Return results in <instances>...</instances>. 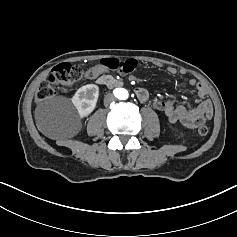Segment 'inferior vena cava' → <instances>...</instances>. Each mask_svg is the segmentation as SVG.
Instances as JSON below:
<instances>
[{
  "label": "inferior vena cava",
  "instance_id": "602c4592",
  "mask_svg": "<svg viewBox=\"0 0 237 237\" xmlns=\"http://www.w3.org/2000/svg\"><path fill=\"white\" fill-rule=\"evenodd\" d=\"M115 100L116 98L113 94H107L104 99V104L109 105L111 102H114Z\"/></svg>",
  "mask_w": 237,
  "mask_h": 237
}]
</instances>
